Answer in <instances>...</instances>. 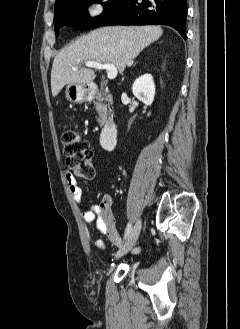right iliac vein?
I'll list each match as a JSON object with an SVG mask.
<instances>
[{
	"label": "right iliac vein",
	"mask_w": 240,
	"mask_h": 329,
	"mask_svg": "<svg viewBox=\"0 0 240 329\" xmlns=\"http://www.w3.org/2000/svg\"><path fill=\"white\" fill-rule=\"evenodd\" d=\"M141 227H142V222L140 219H138L136 221L133 229L131 230L126 242L115 254L116 258H120L123 255H125L135 245V243L139 237Z\"/></svg>",
	"instance_id": "right-iliac-vein-1"
}]
</instances>
